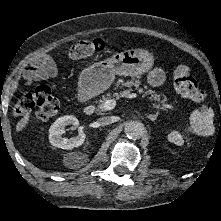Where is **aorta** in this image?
I'll return each instance as SVG.
<instances>
[{
  "label": "aorta",
  "mask_w": 221,
  "mask_h": 221,
  "mask_svg": "<svg viewBox=\"0 0 221 221\" xmlns=\"http://www.w3.org/2000/svg\"><path fill=\"white\" fill-rule=\"evenodd\" d=\"M144 125L140 121H127L124 132L131 139H139L144 134Z\"/></svg>",
  "instance_id": "762f6f07"
}]
</instances>
